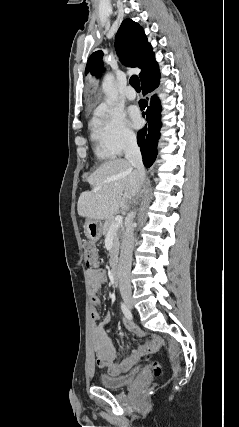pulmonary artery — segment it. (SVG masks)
Instances as JSON below:
<instances>
[{"instance_id": "pulmonary-artery-1", "label": "pulmonary artery", "mask_w": 239, "mask_h": 427, "mask_svg": "<svg viewBox=\"0 0 239 427\" xmlns=\"http://www.w3.org/2000/svg\"><path fill=\"white\" fill-rule=\"evenodd\" d=\"M125 96L129 100H134L136 98V92L130 85L125 88Z\"/></svg>"}]
</instances>
